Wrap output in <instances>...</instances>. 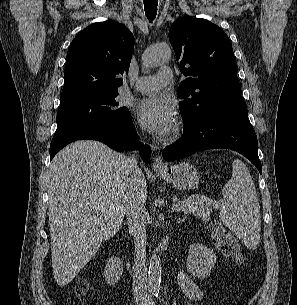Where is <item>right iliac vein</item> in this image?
<instances>
[{
	"instance_id": "63e3f726",
	"label": "right iliac vein",
	"mask_w": 297,
	"mask_h": 305,
	"mask_svg": "<svg viewBox=\"0 0 297 305\" xmlns=\"http://www.w3.org/2000/svg\"><path fill=\"white\" fill-rule=\"evenodd\" d=\"M137 305H146V304H144V303H139V304H137Z\"/></svg>"
}]
</instances>
